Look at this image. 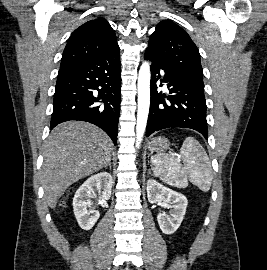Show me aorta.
<instances>
[{
    "instance_id": "aorta-1",
    "label": "aorta",
    "mask_w": 267,
    "mask_h": 270,
    "mask_svg": "<svg viewBox=\"0 0 267 270\" xmlns=\"http://www.w3.org/2000/svg\"><path fill=\"white\" fill-rule=\"evenodd\" d=\"M150 64L145 61L139 70L138 75V110L136 125V147L139 148L143 139L150 107Z\"/></svg>"
}]
</instances>
